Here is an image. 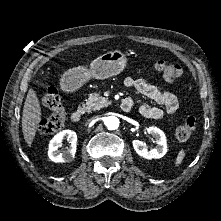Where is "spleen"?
<instances>
[{
    "instance_id": "obj_1",
    "label": "spleen",
    "mask_w": 221,
    "mask_h": 221,
    "mask_svg": "<svg viewBox=\"0 0 221 221\" xmlns=\"http://www.w3.org/2000/svg\"><path fill=\"white\" fill-rule=\"evenodd\" d=\"M184 156H185V151L183 149H181L178 152V155H177L176 160H175V166L176 167H178L182 163Z\"/></svg>"
}]
</instances>
